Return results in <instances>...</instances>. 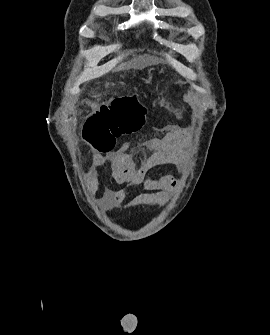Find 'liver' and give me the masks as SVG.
<instances>
[{
	"label": "liver",
	"mask_w": 270,
	"mask_h": 335,
	"mask_svg": "<svg viewBox=\"0 0 270 335\" xmlns=\"http://www.w3.org/2000/svg\"><path fill=\"white\" fill-rule=\"evenodd\" d=\"M133 66H134L133 62H127V64H120L117 70H127V68H133Z\"/></svg>",
	"instance_id": "1"
}]
</instances>
